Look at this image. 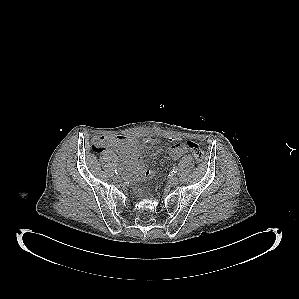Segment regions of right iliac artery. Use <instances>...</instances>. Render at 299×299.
<instances>
[{
	"label": "right iliac artery",
	"mask_w": 299,
	"mask_h": 299,
	"mask_svg": "<svg viewBox=\"0 0 299 299\" xmlns=\"http://www.w3.org/2000/svg\"><path fill=\"white\" fill-rule=\"evenodd\" d=\"M115 173H116V174H119V173H120V170H119V169H115Z\"/></svg>",
	"instance_id": "1"
}]
</instances>
